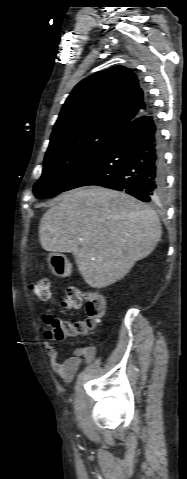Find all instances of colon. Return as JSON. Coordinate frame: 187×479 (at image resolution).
I'll return each mask as SVG.
<instances>
[{
    "instance_id": "colon-1",
    "label": "colon",
    "mask_w": 187,
    "mask_h": 479,
    "mask_svg": "<svg viewBox=\"0 0 187 479\" xmlns=\"http://www.w3.org/2000/svg\"><path fill=\"white\" fill-rule=\"evenodd\" d=\"M33 297L48 301L52 298L50 281L40 278L29 285ZM61 304L67 310L84 308L86 317L77 321L58 320L51 315L44 316V322L49 329L45 336L48 339L61 340L65 337L85 335L94 331L105 314L106 301L102 293L91 291L83 293L78 287H67L62 295Z\"/></svg>"
}]
</instances>
